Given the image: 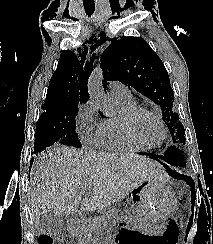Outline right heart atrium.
I'll return each mask as SVG.
<instances>
[{
  "label": "right heart atrium",
  "instance_id": "right-heart-atrium-1",
  "mask_svg": "<svg viewBox=\"0 0 213 244\" xmlns=\"http://www.w3.org/2000/svg\"><path fill=\"white\" fill-rule=\"evenodd\" d=\"M100 124L95 104L93 102L83 104L76 116V129L80 139L89 145L96 144Z\"/></svg>",
  "mask_w": 213,
  "mask_h": 244
}]
</instances>
